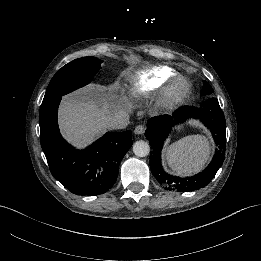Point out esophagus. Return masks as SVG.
<instances>
[{"label": "esophagus", "mask_w": 261, "mask_h": 261, "mask_svg": "<svg viewBox=\"0 0 261 261\" xmlns=\"http://www.w3.org/2000/svg\"><path fill=\"white\" fill-rule=\"evenodd\" d=\"M145 126L144 125H138L135 130L134 133L135 134H143L145 132Z\"/></svg>", "instance_id": "34e87169"}]
</instances>
